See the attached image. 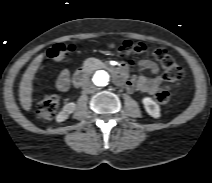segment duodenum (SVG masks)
Here are the masks:
<instances>
[{
    "instance_id": "1",
    "label": "duodenum",
    "mask_w": 212,
    "mask_h": 183,
    "mask_svg": "<svg viewBox=\"0 0 212 183\" xmlns=\"http://www.w3.org/2000/svg\"><path fill=\"white\" fill-rule=\"evenodd\" d=\"M91 72V69L88 65H84L81 68H79L76 73L74 74L73 82L77 87H80L83 85V83L86 81L87 77L89 76ZM122 71L117 70L113 72V79L115 81H119L122 78Z\"/></svg>"
}]
</instances>
